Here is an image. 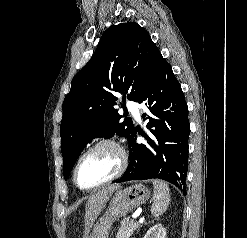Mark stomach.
Instances as JSON below:
<instances>
[{
    "label": "stomach",
    "mask_w": 247,
    "mask_h": 238,
    "mask_svg": "<svg viewBox=\"0 0 247 238\" xmlns=\"http://www.w3.org/2000/svg\"><path fill=\"white\" fill-rule=\"evenodd\" d=\"M150 195V190L143 184L118 190L112 197L105 214L94 225L89 238H108L114 221L144 204Z\"/></svg>",
    "instance_id": "1"
}]
</instances>
